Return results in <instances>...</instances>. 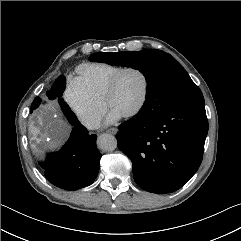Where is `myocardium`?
<instances>
[{
	"instance_id": "1",
	"label": "myocardium",
	"mask_w": 241,
	"mask_h": 241,
	"mask_svg": "<svg viewBox=\"0 0 241 241\" xmlns=\"http://www.w3.org/2000/svg\"><path fill=\"white\" fill-rule=\"evenodd\" d=\"M129 70L138 71L142 75L143 80H144V90H143V94H142V97H141L138 105L132 111L123 115L124 118L135 117L143 110V108L146 105V102L148 100L149 90H150V81H149L148 74L146 73L145 70H143L142 68H140L138 66H134V65L124 66L120 70H118L110 79V81L105 89V93H104V98H103L104 106L108 107L109 99L112 96V94L114 93L121 75Z\"/></svg>"
}]
</instances>
